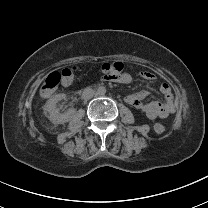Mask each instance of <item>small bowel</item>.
Listing matches in <instances>:
<instances>
[{"label": "small bowel", "instance_id": "1", "mask_svg": "<svg viewBox=\"0 0 208 208\" xmlns=\"http://www.w3.org/2000/svg\"><path fill=\"white\" fill-rule=\"evenodd\" d=\"M140 76L148 81L155 80V75L149 71H143ZM101 82H116L120 81L122 83H129L131 81V76L129 74H124L123 77L120 74L115 75H101L99 77ZM160 92L162 93L163 101H151L143 102V99L150 95V91L142 90L140 92L130 94L126 96L125 101L134 108L140 110L145 116L151 120L156 118H167L175 111V102L170 86L166 83L161 84Z\"/></svg>", "mask_w": 208, "mask_h": 208}]
</instances>
